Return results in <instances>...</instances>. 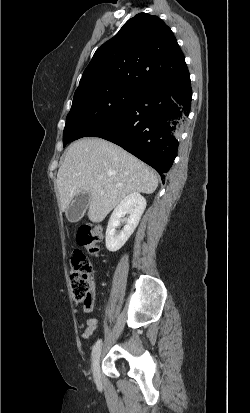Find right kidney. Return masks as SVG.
<instances>
[{
	"label": "right kidney",
	"instance_id": "1",
	"mask_svg": "<svg viewBox=\"0 0 250 413\" xmlns=\"http://www.w3.org/2000/svg\"><path fill=\"white\" fill-rule=\"evenodd\" d=\"M146 208V200L138 192L131 193L123 198L111 214L106 230V248L111 252L118 251L133 234ZM129 217L123 230L117 234L116 228L122 218Z\"/></svg>",
	"mask_w": 250,
	"mask_h": 413
}]
</instances>
